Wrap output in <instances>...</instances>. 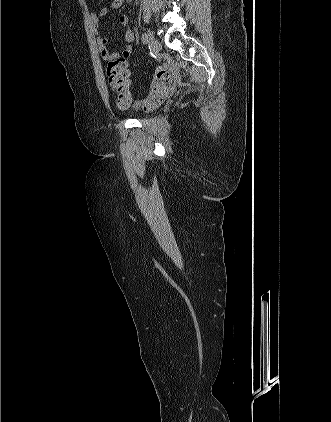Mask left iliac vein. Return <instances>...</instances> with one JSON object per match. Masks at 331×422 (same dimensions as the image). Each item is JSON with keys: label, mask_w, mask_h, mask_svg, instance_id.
<instances>
[{"label": "left iliac vein", "mask_w": 331, "mask_h": 422, "mask_svg": "<svg viewBox=\"0 0 331 422\" xmlns=\"http://www.w3.org/2000/svg\"><path fill=\"white\" fill-rule=\"evenodd\" d=\"M149 45L155 54H159L162 46L161 43L153 36L149 35Z\"/></svg>", "instance_id": "obj_1"}]
</instances>
